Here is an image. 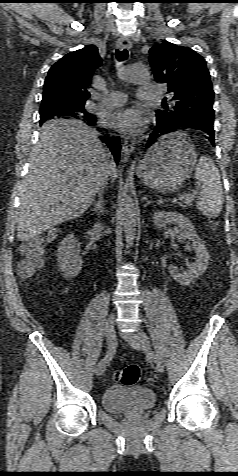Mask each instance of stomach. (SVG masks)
<instances>
[{"label":"stomach","mask_w":238,"mask_h":476,"mask_svg":"<svg viewBox=\"0 0 238 476\" xmlns=\"http://www.w3.org/2000/svg\"><path fill=\"white\" fill-rule=\"evenodd\" d=\"M196 152L182 133L162 137L146 153L137 168L143 183L161 193L178 189L192 172Z\"/></svg>","instance_id":"obj_1"}]
</instances>
